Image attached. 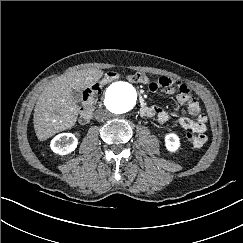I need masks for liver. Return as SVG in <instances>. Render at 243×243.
Returning <instances> with one entry per match:
<instances>
[{
	"label": "liver",
	"mask_w": 243,
	"mask_h": 243,
	"mask_svg": "<svg viewBox=\"0 0 243 243\" xmlns=\"http://www.w3.org/2000/svg\"><path fill=\"white\" fill-rule=\"evenodd\" d=\"M102 75L103 71L95 68L76 70L51 80L44 87L33 115L35 133L40 141L75 125L79 106L74 100L73 91L92 86Z\"/></svg>",
	"instance_id": "liver-1"
}]
</instances>
